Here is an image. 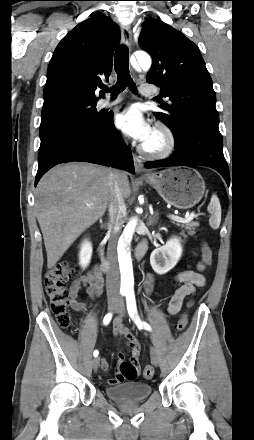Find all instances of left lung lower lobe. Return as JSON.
<instances>
[{
	"instance_id": "0a47b994",
	"label": "left lung lower lobe",
	"mask_w": 254,
	"mask_h": 440,
	"mask_svg": "<svg viewBox=\"0 0 254 440\" xmlns=\"http://www.w3.org/2000/svg\"><path fill=\"white\" fill-rule=\"evenodd\" d=\"M192 165L215 169L229 184V169L223 155V142L218 125L190 120L182 136L175 137V151L169 158L145 163L146 168Z\"/></svg>"
}]
</instances>
